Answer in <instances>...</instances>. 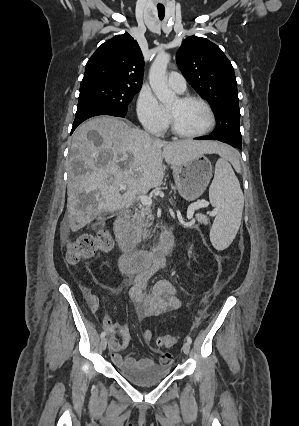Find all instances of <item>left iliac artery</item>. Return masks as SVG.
I'll use <instances>...</instances> for the list:
<instances>
[{"instance_id": "44dca946", "label": "left iliac artery", "mask_w": 299, "mask_h": 426, "mask_svg": "<svg viewBox=\"0 0 299 426\" xmlns=\"http://www.w3.org/2000/svg\"><path fill=\"white\" fill-rule=\"evenodd\" d=\"M186 340H187V342H188V343H190V344L192 343V339H191V337H190V336H187V337H186Z\"/></svg>"}]
</instances>
